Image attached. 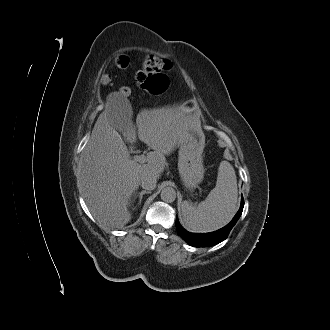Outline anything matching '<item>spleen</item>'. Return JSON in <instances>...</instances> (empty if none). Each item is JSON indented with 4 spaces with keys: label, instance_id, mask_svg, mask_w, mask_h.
<instances>
[{
    "label": "spleen",
    "instance_id": "3e777b00",
    "mask_svg": "<svg viewBox=\"0 0 330 330\" xmlns=\"http://www.w3.org/2000/svg\"><path fill=\"white\" fill-rule=\"evenodd\" d=\"M237 179L233 166L222 161L215 188L197 206L188 201L181 204L185 226L193 232H211L225 226L237 211Z\"/></svg>",
    "mask_w": 330,
    "mask_h": 330
}]
</instances>
